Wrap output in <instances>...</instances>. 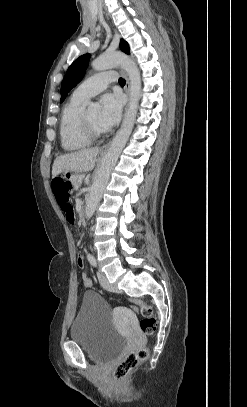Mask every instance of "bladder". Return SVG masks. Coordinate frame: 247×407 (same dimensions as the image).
<instances>
[{
  "instance_id": "bladder-1",
  "label": "bladder",
  "mask_w": 247,
  "mask_h": 407,
  "mask_svg": "<svg viewBox=\"0 0 247 407\" xmlns=\"http://www.w3.org/2000/svg\"><path fill=\"white\" fill-rule=\"evenodd\" d=\"M112 312L113 308L96 292L83 293L70 336L93 361L108 362L126 345V336L112 322Z\"/></svg>"
}]
</instances>
